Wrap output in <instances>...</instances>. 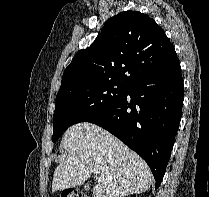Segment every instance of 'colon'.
<instances>
[{"instance_id": "1", "label": "colon", "mask_w": 209, "mask_h": 197, "mask_svg": "<svg viewBox=\"0 0 209 197\" xmlns=\"http://www.w3.org/2000/svg\"><path fill=\"white\" fill-rule=\"evenodd\" d=\"M61 197H88V196L79 191H68L62 194Z\"/></svg>"}]
</instances>
